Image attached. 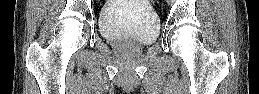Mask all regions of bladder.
<instances>
[{
  "mask_svg": "<svg viewBox=\"0 0 259 94\" xmlns=\"http://www.w3.org/2000/svg\"><path fill=\"white\" fill-rule=\"evenodd\" d=\"M99 31L111 42L129 40L147 45L156 39L158 23L152 8L142 1L128 6L112 3L100 16Z\"/></svg>",
  "mask_w": 259,
  "mask_h": 94,
  "instance_id": "31cf9c89",
  "label": "bladder"
}]
</instances>
